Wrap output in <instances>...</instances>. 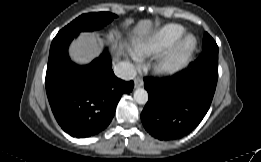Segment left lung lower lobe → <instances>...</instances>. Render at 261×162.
<instances>
[{
  "instance_id": "0a47b994",
  "label": "left lung lower lobe",
  "mask_w": 261,
  "mask_h": 162,
  "mask_svg": "<svg viewBox=\"0 0 261 162\" xmlns=\"http://www.w3.org/2000/svg\"><path fill=\"white\" fill-rule=\"evenodd\" d=\"M218 79V52L203 50L198 59L171 77L144 78L149 100L141 120L159 140L188 135L202 121L211 105Z\"/></svg>"
}]
</instances>
